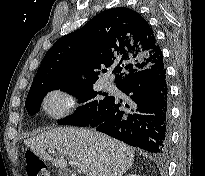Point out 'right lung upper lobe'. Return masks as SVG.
Listing matches in <instances>:
<instances>
[{
	"label": "right lung upper lobe",
	"mask_w": 205,
	"mask_h": 176,
	"mask_svg": "<svg viewBox=\"0 0 205 176\" xmlns=\"http://www.w3.org/2000/svg\"><path fill=\"white\" fill-rule=\"evenodd\" d=\"M162 64V51L141 15L129 8H112L54 43L29 92L54 84H93L102 66L116 65L117 84L134 72ZM82 74L86 75L84 81Z\"/></svg>",
	"instance_id": "obj_1"
}]
</instances>
